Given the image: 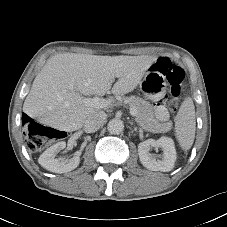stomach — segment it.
I'll use <instances>...</instances> for the list:
<instances>
[{
	"instance_id": "0dacf381",
	"label": "stomach",
	"mask_w": 227,
	"mask_h": 227,
	"mask_svg": "<svg viewBox=\"0 0 227 227\" xmlns=\"http://www.w3.org/2000/svg\"><path fill=\"white\" fill-rule=\"evenodd\" d=\"M166 81L163 74L150 69L139 83L141 92L147 99L161 100L166 94Z\"/></svg>"
}]
</instances>
